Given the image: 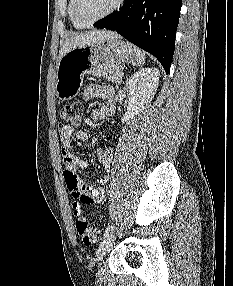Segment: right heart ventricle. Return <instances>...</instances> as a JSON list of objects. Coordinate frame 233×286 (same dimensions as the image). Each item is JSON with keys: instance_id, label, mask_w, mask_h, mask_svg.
<instances>
[{"instance_id": "e07e8e85", "label": "right heart ventricle", "mask_w": 233, "mask_h": 286, "mask_svg": "<svg viewBox=\"0 0 233 286\" xmlns=\"http://www.w3.org/2000/svg\"><path fill=\"white\" fill-rule=\"evenodd\" d=\"M68 15L70 18L71 23L73 24L74 27L76 28H83L85 26L81 25L74 17L73 15V0H69L68 2Z\"/></svg>"}]
</instances>
